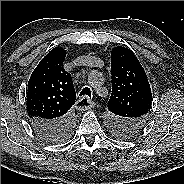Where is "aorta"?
<instances>
[{"label": "aorta", "mask_w": 184, "mask_h": 184, "mask_svg": "<svg viewBox=\"0 0 184 184\" xmlns=\"http://www.w3.org/2000/svg\"><path fill=\"white\" fill-rule=\"evenodd\" d=\"M100 77L101 76L99 73L95 74V76L90 75L89 82L92 85V87H97V85H98L97 83H98V80L100 79Z\"/></svg>", "instance_id": "aorta-1"}]
</instances>
